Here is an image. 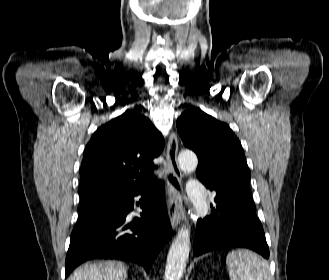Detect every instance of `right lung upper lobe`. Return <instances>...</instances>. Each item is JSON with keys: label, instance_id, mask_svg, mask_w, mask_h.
<instances>
[{"label": "right lung upper lobe", "instance_id": "right-lung-upper-lobe-1", "mask_svg": "<svg viewBox=\"0 0 329 280\" xmlns=\"http://www.w3.org/2000/svg\"><path fill=\"white\" fill-rule=\"evenodd\" d=\"M164 147L160 132L139 111H127L99 127L84 150L81 197L156 180L153 159Z\"/></svg>", "mask_w": 329, "mask_h": 280}]
</instances>
